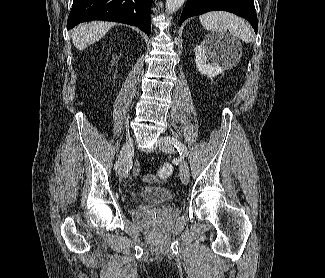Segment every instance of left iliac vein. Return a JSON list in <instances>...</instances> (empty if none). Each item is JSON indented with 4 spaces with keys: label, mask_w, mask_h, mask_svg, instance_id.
Returning a JSON list of instances; mask_svg holds the SVG:
<instances>
[{
    "label": "left iliac vein",
    "mask_w": 325,
    "mask_h": 278,
    "mask_svg": "<svg viewBox=\"0 0 325 278\" xmlns=\"http://www.w3.org/2000/svg\"><path fill=\"white\" fill-rule=\"evenodd\" d=\"M157 145L159 147L160 150H162L163 152L166 153H173L174 152V148H173V144L170 142H167L165 140V138L160 137ZM180 179L182 181L183 184H188L189 179H190V173H189V167L186 161H182L180 164Z\"/></svg>",
    "instance_id": "1"
}]
</instances>
